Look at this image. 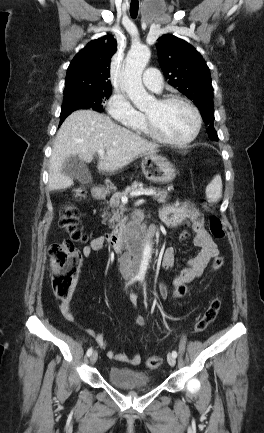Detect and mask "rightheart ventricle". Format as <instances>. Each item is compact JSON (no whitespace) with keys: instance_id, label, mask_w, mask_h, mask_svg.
<instances>
[{"instance_id":"obj_1","label":"right heart ventricle","mask_w":264,"mask_h":433,"mask_svg":"<svg viewBox=\"0 0 264 433\" xmlns=\"http://www.w3.org/2000/svg\"><path fill=\"white\" fill-rule=\"evenodd\" d=\"M134 129H135L137 132L142 133V134H145V135H149V134H150L149 131H148V128H147L145 122H143V123H141L140 125L134 127Z\"/></svg>"}]
</instances>
